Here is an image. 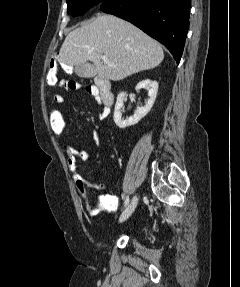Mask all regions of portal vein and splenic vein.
I'll return each mask as SVG.
<instances>
[{"label":"portal vein and splenic vein","instance_id":"portal-vein-and-splenic-vein-1","mask_svg":"<svg viewBox=\"0 0 240 287\" xmlns=\"http://www.w3.org/2000/svg\"><path fill=\"white\" fill-rule=\"evenodd\" d=\"M102 61L105 63H109V59L107 55H102Z\"/></svg>","mask_w":240,"mask_h":287}]
</instances>
